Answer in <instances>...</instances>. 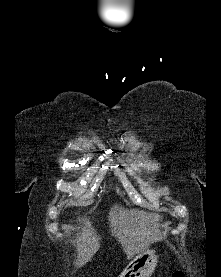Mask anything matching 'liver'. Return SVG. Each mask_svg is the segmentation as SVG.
Here are the masks:
<instances>
[{"label":"liver","instance_id":"obj_1","mask_svg":"<svg viewBox=\"0 0 221 277\" xmlns=\"http://www.w3.org/2000/svg\"><path fill=\"white\" fill-rule=\"evenodd\" d=\"M162 216L140 210H128L117 205L109 212L111 235L121 244L127 259L133 258L149 248L150 244L161 241L165 233L159 229ZM100 248L97 236L89 220H84L80 235L76 239L77 267L88 263Z\"/></svg>","mask_w":221,"mask_h":277}]
</instances>
